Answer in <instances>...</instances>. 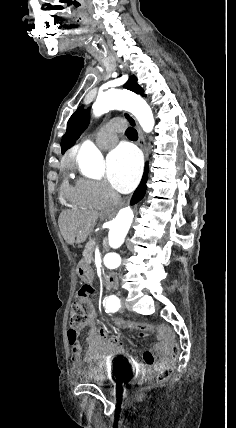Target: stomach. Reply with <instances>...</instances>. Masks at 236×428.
I'll return each mask as SVG.
<instances>
[{
  "instance_id": "0dacf381",
  "label": "stomach",
  "mask_w": 236,
  "mask_h": 428,
  "mask_svg": "<svg viewBox=\"0 0 236 428\" xmlns=\"http://www.w3.org/2000/svg\"><path fill=\"white\" fill-rule=\"evenodd\" d=\"M93 269V265L88 261L85 262V264H81L77 268L78 277L81 279V282L85 287H88L91 283L96 282V275L92 274Z\"/></svg>"
}]
</instances>
